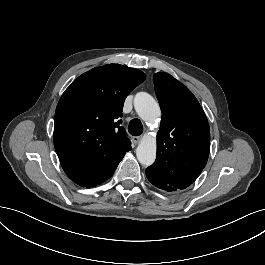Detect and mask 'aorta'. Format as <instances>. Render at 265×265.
Listing matches in <instances>:
<instances>
[{"label":"aorta","instance_id":"762f6f07","mask_svg":"<svg viewBox=\"0 0 265 265\" xmlns=\"http://www.w3.org/2000/svg\"><path fill=\"white\" fill-rule=\"evenodd\" d=\"M134 106L139 117L144 122H154L161 116L159 104L146 92L135 95ZM157 138L150 134H144L136 148V155L143 165H151L156 158Z\"/></svg>","mask_w":265,"mask_h":265}]
</instances>
